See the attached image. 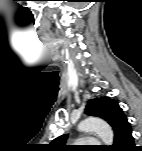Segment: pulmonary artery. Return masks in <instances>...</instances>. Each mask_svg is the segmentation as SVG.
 Returning <instances> with one entry per match:
<instances>
[{
    "label": "pulmonary artery",
    "instance_id": "1",
    "mask_svg": "<svg viewBox=\"0 0 142 151\" xmlns=\"http://www.w3.org/2000/svg\"><path fill=\"white\" fill-rule=\"evenodd\" d=\"M76 144H89V145H96L99 141L95 138H80L75 141Z\"/></svg>",
    "mask_w": 142,
    "mask_h": 151
}]
</instances>
